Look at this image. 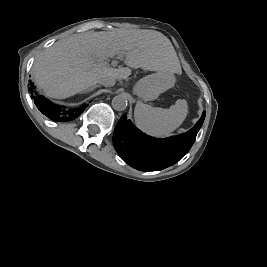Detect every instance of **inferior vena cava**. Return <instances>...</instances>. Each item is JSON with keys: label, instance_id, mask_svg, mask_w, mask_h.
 <instances>
[{"label": "inferior vena cava", "instance_id": "1", "mask_svg": "<svg viewBox=\"0 0 267 267\" xmlns=\"http://www.w3.org/2000/svg\"><path fill=\"white\" fill-rule=\"evenodd\" d=\"M115 79L114 78H110V77H102L98 80V83L103 85V86H114L115 85Z\"/></svg>", "mask_w": 267, "mask_h": 267}]
</instances>
